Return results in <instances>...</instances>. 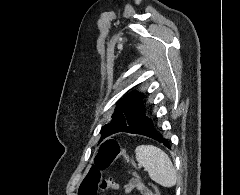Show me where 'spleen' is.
<instances>
[{
	"label": "spleen",
	"instance_id": "spleen-1",
	"mask_svg": "<svg viewBox=\"0 0 240 195\" xmlns=\"http://www.w3.org/2000/svg\"><path fill=\"white\" fill-rule=\"evenodd\" d=\"M137 161L145 167L151 179L164 187H172L177 181L175 167L167 153L156 145H137Z\"/></svg>",
	"mask_w": 240,
	"mask_h": 195
}]
</instances>
